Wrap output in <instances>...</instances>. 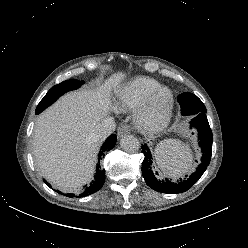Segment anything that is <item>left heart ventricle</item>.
Segmentation results:
<instances>
[{"label": "left heart ventricle", "instance_id": "1", "mask_svg": "<svg viewBox=\"0 0 248 248\" xmlns=\"http://www.w3.org/2000/svg\"><path fill=\"white\" fill-rule=\"evenodd\" d=\"M166 101H167V96L165 94L161 95L158 98L152 111L153 116H158L162 112L163 108L165 107Z\"/></svg>", "mask_w": 248, "mask_h": 248}]
</instances>
